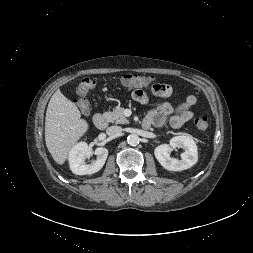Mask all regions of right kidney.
<instances>
[{
  "label": "right kidney",
  "instance_id": "1",
  "mask_svg": "<svg viewBox=\"0 0 253 253\" xmlns=\"http://www.w3.org/2000/svg\"><path fill=\"white\" fill-rule=\"evenodd\" d=\"M95 154L96 160L91 164H86L85 160ZM108 156V150L98 147L94 152L89 149L85 142L76 144L69 153V165L71 171L76 175H90L98 172L105 164Z\"/></svg>",
  "mask_w": 253,
  "mask_h": 253
}]
</instances>
